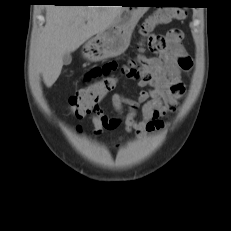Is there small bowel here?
<instances>
[{"label":"small bowel","instance_id":"c3829d8e","mask_svg":"<svg viewBox=\"0 0 231 231\" xmlns=\"http://www.w3.org/2000/svg\"><path fill=\"white\" fill-rule=\"evenodd\" d=\"M184 34L180 30H172L163 37L165 49L155 52L154 56L138 58V92L136 98L122 93L112 97L114 116L106 115L100 108L91 116L94 135L101 137L104 130L116 129L123 124L127 132L142 135L162 128L165 117L175 111L179 100L185 94V86L181 73L188 72L193 62L182 46ZM125 63L109 61L101 66L93 67L84 77L85 83L92 79L110 78L114 73H121ZM141 113L142 120L136 116ZM76 132L82 133V126H76Z\"/></svg>","mask_w":231,"mask_h":231}]
</instances>
